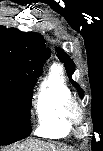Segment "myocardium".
Segmentation results:
<instances>
[{
    "instance_id": "f54148a6",
    "label": "myocardium",
    "mask_w": 103,
    "mask_h": 151,
    "mask_svg": "<svg viewBox=\"0 0 103 151\" xmlns=\"http://www.w3.org/2000/svg\"><path fill=\"white\" fill-rule=\"evenodd\" d=\"M64 117L70 125L80 126L84 122L85 111L74 98H70L64 106Z\"/></svg>"
}]
</instances>
